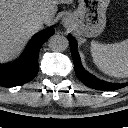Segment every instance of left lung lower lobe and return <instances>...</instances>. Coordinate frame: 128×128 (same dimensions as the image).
I'll return each mask as SVG.
<instances>
[{
  "label": "left lung lower lobe",
  "mask_w": 128,
  "mask_h": 128,
  "mask_svg": "<svg viewBox=\"0 0 128 128\" xmlns=\"http://www.w3.org/2000/svg\"><path fill=\"white\" fill-rule=\"evenodd\" d=\"M68 38L70 42L71 55L74 62L75 73L78 79L83 84H85L90 88L96 90H103V91L117 90L128 85V82L123 84H114V83L101 81L96 77H94L93 75H91L90 73H88L81 65V60L77 51V45L75 39L71 35H69Z\"/></svg>",
  "instance_id": "0a47b994"
}]
</instances>
